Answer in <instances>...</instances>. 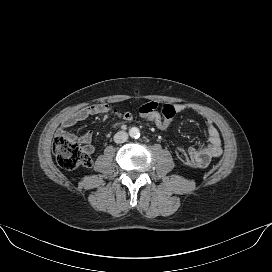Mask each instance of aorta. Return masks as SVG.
<instances>
[{
  "label": "aorta",
  "mask_w": 272,
  "mask_h": 272,
  "mask_svg": "<svg viewBox=\"0 0 272 272\" xmlns=\"http://www.w3.org/2000/svg\"><path fill=\"white\" fill-rule=\"evenodd\" d=\"M129 135L132 138H139L140 130L137 127H132L129 129Z\"/></svg>",
  "instance_id": "1"
}]
</instances>
